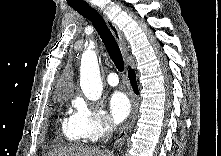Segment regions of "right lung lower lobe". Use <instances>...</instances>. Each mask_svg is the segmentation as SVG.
Returning <instances> with one entry per match:
<instances>
[{
    "label": "right lung lower lobe",
    "instance_id": "1",
    "mask_svg": "<svg viewBox=\"0 0 221 156\" xmlns=\"http://www.w3.org/2000/svg\"><path fill=\"white\" fill-rule=\"evenodd\" d=\"M128 77L130 79L131 85L133 87V90L136 94H138V86L136 81V75L133 69H129Z\"/></svg>",
    "mask_w": 221,
    "mask_h": 156
}]
</instances>
